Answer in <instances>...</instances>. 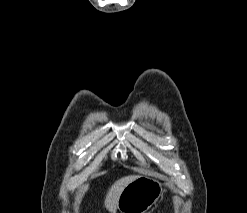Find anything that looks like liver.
I'll return each mask as SVG.
<instances>
[{
  "label": "liver",
  "mask_w": 247,
  "mask_h": 213,
  "mask_svg": "<svg viewBox=\"0 0 247 213\" xmlns=\"http://www.w3.org/2000/svg\"><path fill=\"white\" fill-rule=\"evenodd\" d=\"M138 177L139 176L137 175L126 176V177L120 178L111 186V188L108 190L106 194V198L104 201V205L109 212L111 213L115 212V210L117 209V203H118L121 192L124 190V188L129 183H131Z\"/></svg>",
  "instance_id": "liver-1"
}]
</instances>
